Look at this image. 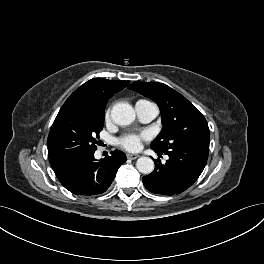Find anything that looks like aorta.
<instances>
[{
    "label": "aorta",
    "mask_w": 264,
    "mask_h": 264,
    "mask_svg": "<svg viewBox=\"0 0 264 264\" xmlns=\"http://www.w3.org/2000/svg\"><path fill=\"white\" fill-rule=\"evenodd\" d=\"M135 111L127 103H117L111 110L112 120L121 126L131 124L135 120ZM136 167L143 174H150L154 170V161L150 157H140L136 162Z\"/></svg>",
    "instance_id": "aorta-1"
}]
</instances>
